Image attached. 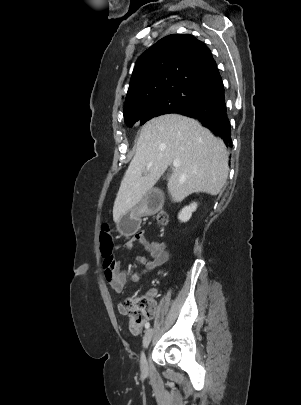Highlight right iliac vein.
<instances>
[{
    "instance_id": "obj_1",
    "label": "right iliac vein",
    "mask_w": 301,
    "mask_h": 405,
    "mask_svg": "<svg viewBox=\"0 0 301 405\" xmlns=\"http://www.w3.org/2000/svg\"><path fill=\"white\" fill-rule=\"evenodd\" d=\"M153 335H154V330L152 328L148 329V331L146 332V334L144 335V338H143V348L144 349H146L149 346V344L153 338ZM140 368L143 372H145L147 370V360H146L144 351L141 352V356H140Z\"/></svg>"
}]
</instances>
